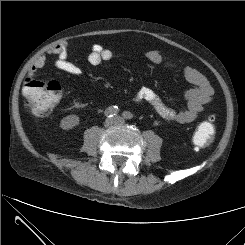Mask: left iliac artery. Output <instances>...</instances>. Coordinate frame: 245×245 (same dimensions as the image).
Masks as SVG:
<instances>
[{"instance_id": "1", "label": "left iliac artery", "mask_w": 245, "mask_h": 245, "mask_svg": "<svg viewBox=\"0 0 245 245\" xmlns=\"http://www.w3.org/2000/svg\"><path fill=\"white\" fill-rule=\"evenodd\" d=\"M122 116H123L125 119H128V120H130V119L133 118V114H132L131 112H129V111L123 112Z\"/></svg>"}]
</instances>
